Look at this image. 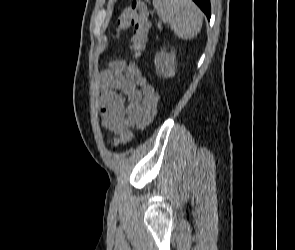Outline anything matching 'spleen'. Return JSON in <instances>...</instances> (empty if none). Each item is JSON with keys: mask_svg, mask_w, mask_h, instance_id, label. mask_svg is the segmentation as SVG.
Returning a JSON list of instances; mask_svg holds the SVG:
<instances>
[{"mask_svg": "<svg viewBox=\"0 0 295 250\" xmlns=\"http://www.w3.org/2000/svg\"><path fill=\"white\" fill-rule=\"evenodd\" d=\"M153 6L179 38L192 39L200 32L203 14L192 0H153Z\"/></svg>", "mask_w": 295, "mask_h": 250, "instance_id": "spleen-1", "label": "spleen"}]
</instances>
